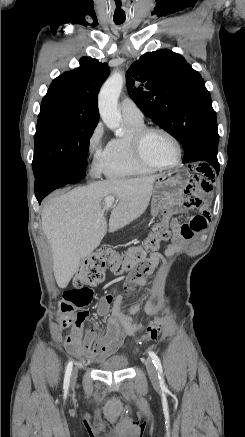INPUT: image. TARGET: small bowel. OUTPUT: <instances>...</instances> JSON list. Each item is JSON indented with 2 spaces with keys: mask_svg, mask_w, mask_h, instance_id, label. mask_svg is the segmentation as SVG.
Wrapping results in <instances>:
<instances>
[{
  "mask_svg": "<svg viewBox=\"0 0 245 437\" xmlns=\"http://www.w3.org/2000/svg\"><path fill=\"white\" fill-rule=\"evenodd\" d=\"M188 176L191 180V183H188L186 186L188 192H195L198 187L199 192L208 194L212 192L213 185L207 180H216L218 174L214 171L213 166H190ZM205 201L204 196H191L186 199L184 205L190 209H199L204 205ZM173 205L176 206L177 203ZM205 213L206 211H203L202 214L191 217L184 224L180 223L179 220L172 222L173 238L165 248V255L154 251L149 254L144 266L134 271L127 278L125 285L127 296L133 293L136 284H146L149 276L152 274L153 267L159 263L166 264L165 256L174 254L185 240L192 238L195 233L207 227L208 217ZM117 283V280H110L108 285L115 289ZM111 304L112 296H107L100 300L97 308L99 316L108 318L107 331L103 336L97 338L96 331L90 329L82 340L81 335L79 337H67L65 340L66 346L80 348L82 353L90 359L105 357L124 347L125 338L139 332L142 329V324L120 306L115 307L111 312ZM156 310L157 306L152 302L148 301L145 303L144 311L146 314H154ZM82 325L83 323L79 325L80 329Z\"/></svg>",
  "mask_w": 245,
  "mask_h": 437,
  "instance_id": "obj_1",
  "label": "small bowel"
}]
</instances>
